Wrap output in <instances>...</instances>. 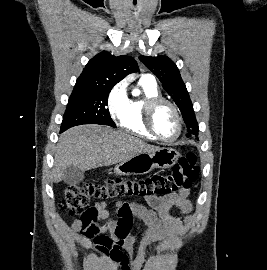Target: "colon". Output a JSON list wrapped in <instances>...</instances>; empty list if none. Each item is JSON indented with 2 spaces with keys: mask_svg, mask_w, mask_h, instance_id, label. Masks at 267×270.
<instances>
[{
  "mask_svg": "<svg viewBox=\"0 0 267 270\" xmlns=\"http://www.w3.org/2000/svg\"><path fill=\"white\" fill-rule=\"evenodd\" d=\"M199 168L193 153L182 156L169 173L146 178H115L103 183L84 182L67 186L59 202L60 208L71 215H85L91 198L114 200L126 197L161 198L189 190L197 180ZM93 242L99 244V239ZM114 267L127 270L126 258L118 256Z\"/></svg>",
  "mask_w": 267,
  "mask_h": 270,
  "instance_id": "colon-1",
  "label": "colon"
}]
</instances>
